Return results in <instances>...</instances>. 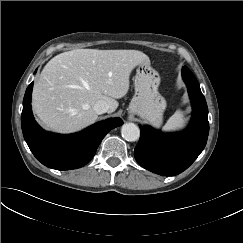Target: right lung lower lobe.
Segmentation results:
<instances>
[{"label": "right lung lower lobe", "instance_id": "98d812e1", "mask_svg": "<svg viewBox=\"0 0 243 243\" xmlns=\"http://www.w3.org/2000/svg\"><path fill=\"white\" fill-rule=\"evenodd\" d=\"M32 88L33 83L28 86L23 100L22 132L34 156L49 168L69 170L84 166L92 159L104 136L123 124L120 118H111L76 134L46 132L39 127L32 114Z\"/></svg>", "mask_w": 243, "mask_h": 243}]
</instances>
